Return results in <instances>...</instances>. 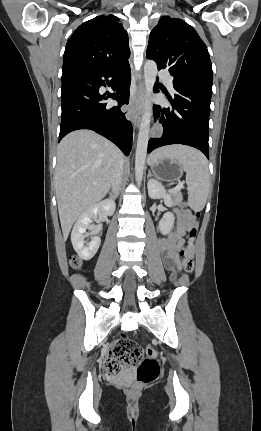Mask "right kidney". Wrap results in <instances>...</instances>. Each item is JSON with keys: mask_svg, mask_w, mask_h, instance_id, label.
Wrapping results in <instances>:
<instances>
[{"mask_svg": "<svg viewBox=\"0 0 261 431\" xmlns=\"http://www.w3.org/2000/svg\"><path fill=\"white\" fill-rule=\"evenodd\" d=\"M115 208L114 200L106 199L91 206L79 216L71 233V242L74 250L83 260H90L96 254L101 242L100 237L92 233H90L91 241L86 242L85 237L89 235L86 230L93 229L91 223L98 216H112Z\"/></svg>", "mask_w": 261, "mask_h": 431, "instance_id": "1", "label": "right kidney"}]
</instances>
